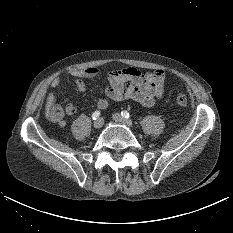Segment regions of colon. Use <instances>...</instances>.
<instances>
[{
    "label": "colon",
    "mask_w": 233,
    "mask_h": 233,
    "mask_svg": "<svg viewBox=\"0 0 233 233\" xmlns=\"http://www.w3.org/2000/svg\"><path fill=\"white\" fill-rule=\"evenodd\" d=\"M176 102L181 107H186L188 105V97L183 93H176Z\"/></svg>",
    "instance_id": "colon-1"
}]
</instances>
